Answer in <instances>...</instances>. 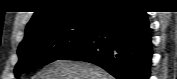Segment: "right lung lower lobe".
I'll use <instances>...</instances> for the list:
<instances>
[{
    "label": "right lung lower lobe",
    "mask_w": 177,
    "mask_h": 79,
    "mask_svg": "<svg viewBox=\"0 0 177 79\" xmlns=\"http://www.w3.org/2000/svg\"><path fill=\"white\" fill-rule=\"evenodd\" d=\"M151 57L146 12L114 6L104 10L88 37L59 60L94 63L117 79H148Z\"/></svg>",
    "instance_id": "right-lung-lower-lobe-1"
}]
</instances>
